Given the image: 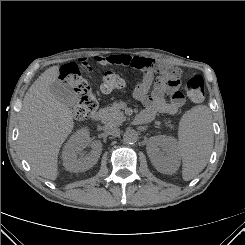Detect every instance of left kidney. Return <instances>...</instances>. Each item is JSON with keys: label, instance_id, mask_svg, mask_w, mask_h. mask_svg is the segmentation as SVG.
<instances>
[{"label": "left kidney", "instance_id": "obj_1", "mask_svg": "<svg viewBox=\"0 0 245 245\" xmlns=\"http://www.w3.org/2000/svg\"><path fill=\"white\" fill-rule=\"evenodd\" d=\"M154 167L162 173H173L180 165V154L173 137L159 135L150 137L146 147Z\"/></svg>", "mask_w": 245, "mask_h": 245}]
</instances>
